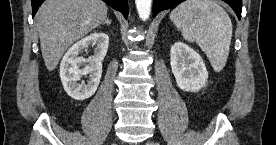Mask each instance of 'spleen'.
Returning a JSON list of instances; mask_svg holds the SVG:
<instances>
[{
	"label": "spleen",
	"instance_id": "3e777b00",
	"mask_svg": "<svg viewBox=\"0 0 276 145\" xmlns=\"http://www.w3.org/2000/svg\"><path fill=\"white\" fill-rule=\"evenodd\" d=\"M170 19L186 41L199 45L214 71H222L232 37V23L227 12L212 0H187L171 12Z\"/></svg>",
	"mask_w": 276,
	"mask_h": 145
}]
</instances>
